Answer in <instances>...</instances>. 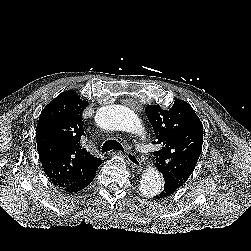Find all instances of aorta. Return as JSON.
Masks as SVG:
<instances>
[{
    "label": "aorta",
    "mask_w": 251,
    "mask_h": 251,
    "mask_svg": "<svg viewBox=\"0 0 251 251\" xmlns=\"http://www.w3.org/2000/svg\"><path fill=\"white\" fill-rule=\"evenodd\" d=\"M96 123L103 129L141 134L142 124L137 115L128 107L108 105L101 107L95 117ZM162 188V180L155 168L147 169L140 181L139 190L146 197L157 195Z\"/></svg>",
    "instance_id": "aorta-1"
}]
</instances>
